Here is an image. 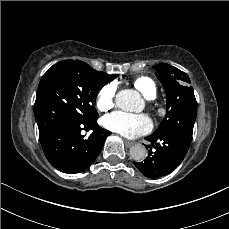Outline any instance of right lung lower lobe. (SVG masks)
<instances>
[{
    "label": "right lung lower lobe",
    "instance_id": "1",
    "mask_svg": "<svg viewBox=\"0 0 229 229\" xmlns=\"http://www.w3.org/2000/svg\"><path fill=\"white\" fill-rule=\"evenodd\" d=\"M82 130H92L85 139ZM110 131L97 122L64 121L40 139L47 160L58 170L75 174L84 171L98 157Z\"/></svg>",
    "mask_w": 229,
    "mask_h": 229
}]
</instances>
